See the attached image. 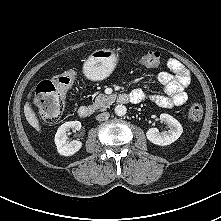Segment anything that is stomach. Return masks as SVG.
I'll return each mask as SVG.
<instances>
[{
	"label": "stomach",
	"mask_w": 221,
	"mask_h": 221,
	"mask_svg": "<svg viewBox=\"0 0 221 221\" xmlns=\"http://www.w3.org/2000/svg\"><path fill=\"white\" fill-rule=\"evenodd\" d=\"M117 61L118 53L115 50L98 49L84 63L83 72L91 80H103L114 71Z\"/></svg>",
	"instance_id": "stomach-1"
}]
</instances>
